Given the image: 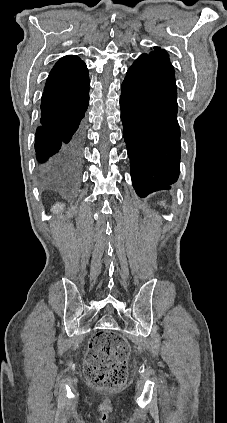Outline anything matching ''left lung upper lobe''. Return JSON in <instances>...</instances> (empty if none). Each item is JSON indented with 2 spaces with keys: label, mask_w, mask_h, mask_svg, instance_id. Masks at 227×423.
Masks as SVG:
<instances>
[{
  "label": "left lung upper lobe",
  "mask_w": 227,
  "mask_h": 423,
  "mask_svg": "<svg viewBox=\"0 0 227 423\" xmlns=\"http://www.w3.org/2000/svg\"><path fill=\"white\" fill-rule=\"evenodd\" d=\"M149 54H142L135 60L127 73L148 79L158 86L177 108V90L174 69L169 62L168 54L160 47H154Z\"/></svg>",
  "instance_id": "5c2ea615"
}]
</instances>
